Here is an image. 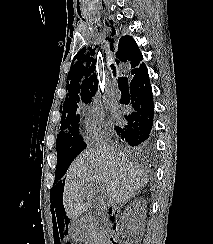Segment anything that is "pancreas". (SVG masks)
I'll list each match as a JSON object with an SVG mask.
<instances>
[{
  "mask_svg": "<svg viewBox=\"0 0 213 244\" xmlns=\"http://www.w3.org/2000/svg\"><path fill=\"white\" fill-rule=\"evenodd\" d=\"M103 228L96 222H91L87 228V236L93 240H99L102 238Z\"/></svg>",
  "mask_w": 213,
  "mask_h": 244,
  "instance_id": "obj_1",
  "label": "pancreas"
}]
</instances>
